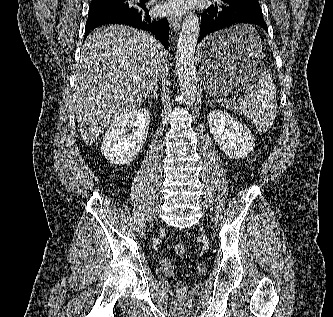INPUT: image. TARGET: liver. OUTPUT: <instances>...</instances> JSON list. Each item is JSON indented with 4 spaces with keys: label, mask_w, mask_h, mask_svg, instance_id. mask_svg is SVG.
I'll list each match as a JSON object with an SVG mask.
<instances>
[{
    "label": "liver",
    "mask_w": 333,
    "mask_h": 317,
    "mask_svg": "<svg viewBox=\"0 0 333 317\" xmlns=\"http://www.w3.org/2000/svg\"><path fill=\"white\" fill-rule=\"evenodd\" d=\"M166 61L161 43L144 31L110 25L90 33L82 47L73 95L87 146L150 95Z\"/></svg>",
    "instance_id": "liver-1"
}]
</instances>
